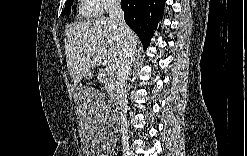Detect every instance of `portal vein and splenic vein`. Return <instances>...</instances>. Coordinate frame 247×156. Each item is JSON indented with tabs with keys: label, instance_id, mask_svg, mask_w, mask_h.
<instances>
[{
	"label": "portal vein and splenic vein",
	"instance_id": "obj_1",
	"mask_svg": "<svg viewBox=\"0 0 247 156\" xmlns=\"http://www.w3.org/2000/svg\"><path fill=\"white\" fill-rule=\"evenodd\" d=\"M116 70V65L114 63H108L106 66V71L113 73Z\"/></svg>",
	"mask_w": 247,
	"mask_h": 156
}]
</instances>
